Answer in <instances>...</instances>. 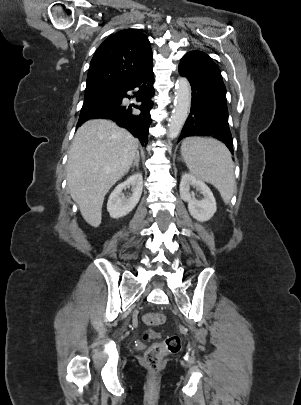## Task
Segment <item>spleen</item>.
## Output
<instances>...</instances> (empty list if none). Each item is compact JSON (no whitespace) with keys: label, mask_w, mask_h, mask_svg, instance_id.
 Here are the masks:
<instances>
[{"label":"spleen","mask_w":301,"mask_h":405,"mask_svg":"<svg viewBox=\"0 0 301 405\" xmlns=\"http://www.w3.org/2000/svg\"><path fill=\"white\" fill-rule=\"evenodd\" d=\"M181 154L190 173L215 186L228 204L235 177L232 157L226 146L214 139L189 137L182 142Z\"/></svg>","instance_id":"obj_1"}]
</instances>
